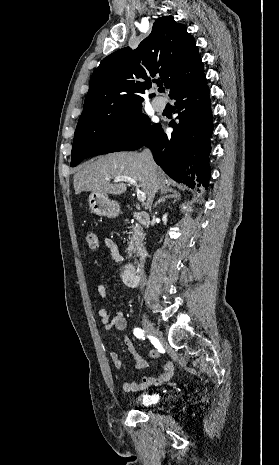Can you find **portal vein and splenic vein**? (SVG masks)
<instances>
[{
	"instance_id": "portal-vein-and-splenic-vein-1",
	"label": "portal vein and splenic vein",
	"mask_w": 279,
	"mask_h": 465,
	"mask_svg": "<svg viewBox=\"0 0 279 465\" xmlns=\"http://www.w3.org/2000/svg\"><path fill=\"white\" fill-rule=\"evenodd\" d=\"M119 181H127V182H129L130 184H132L133 186L136 187V193H137V198H138L139 202H144L146 200V193L142 192L139 189V186H138L136 180H134L133 178L128 177V176H120V177H116L114 179V182H119Z\"/></svg>"
}]
</instances>
